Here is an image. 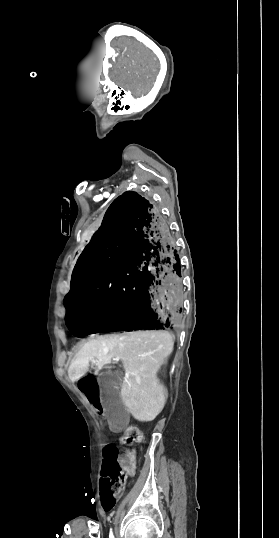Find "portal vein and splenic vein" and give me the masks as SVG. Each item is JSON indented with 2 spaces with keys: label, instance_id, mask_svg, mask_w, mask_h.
Here are the masks:
<instances>
[{
  "label": "portal vein and splenic vein",
  "instance_id": "obj_1",
  "mask_svg": "<svg viewBox=\"0 0 279 538\" xmlns=\"http://www.w3.org/2000/svg\"><path fill=\"white\" fill-rule=\"evenodd\" d=\"M114 360H116V362H119V358H114Z\"/></svg>",
  "mask_w": 279,
  "mask_h": 538
}]
</instances>
